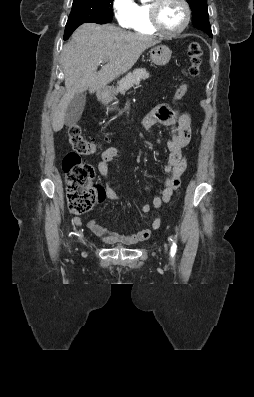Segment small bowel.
Returning a JSON list of instances; mask_svg holds the SVG:
<instances>
[{
    "label": "small bowel",
    "instance_id": "obj_1",
    "mask_svg": "<svg viewBox=\"0 0 254 397\" xmlns=\"http://www.w3.org/2000/svg\"><path fill=\"white\" fill-rule=\"evenodd\" d=\"M155 124H162L169 128L171 136L166 141V147L169 156L164 167L166 177L163 187H161L154 195L152 205L142 204L140 211L147 213L151 207L158 208L162 202L169 201L171 195L179 188L181 176L187 168V160L183 153V149L189 144L191 139V118L186 112L179 109H173L167 104H159L155 106L143 119L142 127L148 132ZM117 147H109L103 151L97 168L103 179V185L100 187V198L98 203H102L105 199L119 201L120 198L114 189L111 179L109 164L118 155ZM149 190V187H146ZM73 222L81 226L83 221L80 217H75ZM160 226V220L154 219L151 226L135 233H124L111 231L96 220H90L87 228L94 233L100 240L108 244H136L147 240L153 230Z\"/></svg>",
    "mask_w": 254,
    "mask_h": 397
}]
</instances>
